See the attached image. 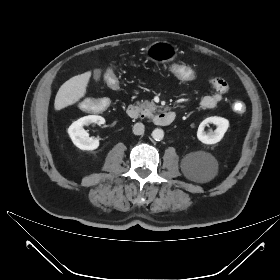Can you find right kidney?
<instances>
[{
  "label": "right kidney",
  "mask_w": 280,
  "mask_h": 280,
  "mask_svg": "<svg viewBox=\"0 0 280 280\" xmlns=\"http://www.w3.org/2000/svg\"><path fill=\"white\" fill-rule=\"evenodd\" d=\"M92 123L102 125L105 123V119L98 115H88L74 121L68 128V134L72 142L81 150H94L99 146V139L89 137V134L83 128Z\"/></svg>",
  "instance_id": "1"
}]
</instances>
